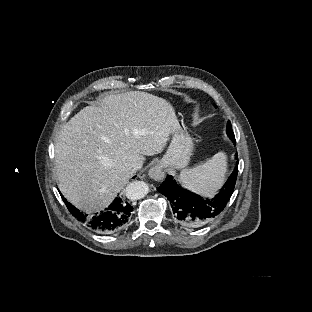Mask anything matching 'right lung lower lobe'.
I'll return each mask as SVG.
<instances>
[{"label":"right lung lower lobe","mask_w":312,"mask_h":312,"mask_svg":"<svg viewBox=\"0 0 312 312\" xmlns=\"http://www.w3.org/2000/svg\"><path fill=\"white\" fill-rule=\"evenodd\" d=\"M62 198L68 210L78 221L100 234H110L118 231L129 221V217L133 211V207L127 200L117 197L105 211H101L99 214L96 213L95 216L90 217L70 205L63 196Z\"/></svg>","instance_id":"98d812e1"}]
</instances>
